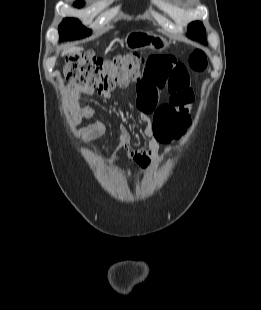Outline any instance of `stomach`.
<instances>
[{
	"label": "stomach",
	"instance_id": "0dacf381",
	"mask_svg": "<svg viewBox=\"0 0 261 310\" xmlns=\"http://www.w3.org/2000/svg\"><path fill=\"white\" fill-rule=\"evenodd\" d=\"M126 44L132 50L151 48L161 52L169 47L170 42L150 32L136 31L127 36Z\"/></svg>",
	"mask_w": 261,
	"mask_h": 310
}]
</instances>
